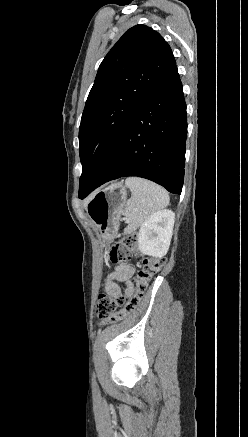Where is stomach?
<instances>
[{"label":"stomach","mask_w":248,"mask_h":437,"mask_svg":"<svg viewBox=\"0 0 248 437\" xmlns=\"http://www.w3.org/2000/svg\"><path fill=\"white\" fill-rule=\"evenodd\" d=\"M127 202V194L121 184H112L94 194L86 203L87 215L99 230L104 243H110Z\"/></svg>","instance_id":"stomach-1"}]
</instances>
